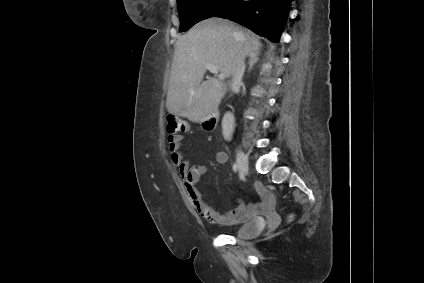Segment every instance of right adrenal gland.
<instances>
[{"label":"right adrenal gland","instance_id":"1","mask_svg":"<svg viewBox=\"0 0 424 283\" xmlns=\"http://www.w3.org/2000/svg\"><path fill=\"white\" fill-rule=\"evenodd\" d=\"M259 55H260V52H256L253 55H250V59L248 62V65H249L248 71L252 69V67L254 66L255 63H257V61H259V57H258Z\"/></svg>","mask_w":424,"mask_h":283}]
</instances>
